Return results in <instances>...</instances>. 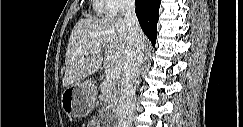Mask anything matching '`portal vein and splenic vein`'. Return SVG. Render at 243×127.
Masks as SVG:
<instances>
[{"label": "portal vein and splenic vein", "instance_id": "obj_1", "mask_svg": "<svg viewBox=\"0 0 243 127\" xmlns=\"http://www.w3.org/2000/svg\"><path fill=\"white\" fill-rule=\"evenodd\" d=\"M89 53H91V54H98L99 51L98 50H93V51H90V52L84 51V54H86V55L89 54ZM120 76H121V70L119 68H112V69H110L109 77L111 79H118V78H120Z\"/></svg>", "mask_w": 243, "mask_h": 127}]
</instances>
